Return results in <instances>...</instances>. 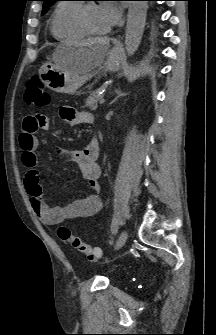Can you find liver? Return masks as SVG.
Wrapping results in <instances>:
<instances>
[{"label":"liver","instance_id":"6515ba94","mask_svg":"<svg viewBox=\"0 0 216 335\" xmlns=\"http://www.w3.org/2000/svg\"><path fill=\"white\" fill-rule=\"evenodd\" d=\"M109 48V39H91L77 44L76 53L68 60L65 69L83 74L99 67ZM87 49V50H86Z\"/></svg>","mask_w":216,"mask_h":335}]
</instances>
